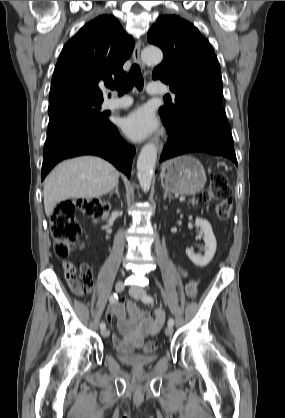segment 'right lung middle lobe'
<instances>
[{"label":"right lung middle lobe","mask_w":285,"mask_h":418,"mask_svg":"<svg viewBox=\"0 0 285 418\" xmlns=\"http://www.w3.org/2000/svg\"><path fill=\"white\" fill-rule=\"evenodd\" d=\"M101 102L69 101L48 108V137L77 126L106 124L105 113L100 112Z\"/></svg>","instance_id":"obj_1"}]
</instances>
